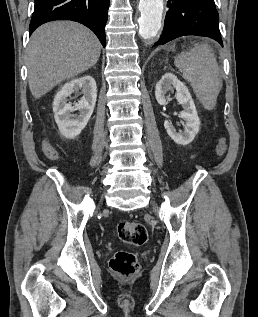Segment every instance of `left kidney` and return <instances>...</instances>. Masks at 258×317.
<instances>
[{
  "mask_svg": "<svg viewBox=\"0 0 258 317\" xmlns=\"http://www.w3.org/2000/svg\"><path fill=\"white\" fill-rule=\"evenodd\" d=\"M171 88H176V98L179 104H182L184 108V110L180 112V116L184 118L186 124H184V130H181V132H177L169 120H164V126L174 142H177V144H189L199 130L200 118L186 84L181 82L173 72H165L162 78L158 80L155 88L157 102H159V104H167L168 100L165 94L167 90H171Z\"/></svg>",
  "mask_w": 258,
  "mask_h": 317,
  "instance_id": "5707ae66",
  "label": "left kidney"
}]
</instances>
